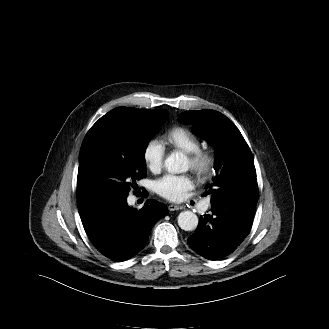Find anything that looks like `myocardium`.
<instances>
[{"instance_id":"1","label":"myocardium","mask_w":329,"mask_h":329,"mask_svg":"<svg viewBox=\"0 0 329 329\" xmlns=\"http://www.w3.org/2000/svg\"><path fill=\"white\" fill-rule=\"evenodd\" d=\"M191 163V170L200 178H206L212 174L216 166V156L209 149H197L187 153Z\"/></svg>"}]
</instances>
